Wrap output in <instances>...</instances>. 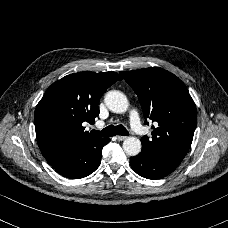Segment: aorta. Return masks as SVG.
<instances>
[{
	"label": "aorta",
	"mask_w": 228,
	"mask_h": 228,
	"mask_svg": "<svg viewBox=\"0 0 228 228\" xmlns=\"http://www.w3.org/2000/svg\"><path fill=\"white\" fill-rule=\"evenodd\" d=\"M104 102L110 111L119 114L126 112L129 106L126 95L117 90L107 92ZM123 149L127 155L136 156L141 151V142L136 137H127L123 142Z\"/></svg>",
	"instance_id": "1"
}]
</instances>
